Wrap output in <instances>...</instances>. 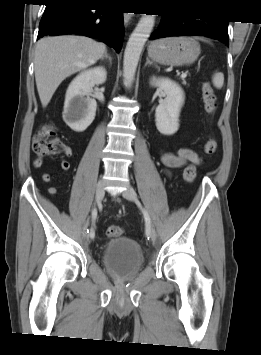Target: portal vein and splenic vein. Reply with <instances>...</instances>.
Returning <instances> with one entry per match:
<instances>
[{"label":"portal vein and splenic vein","mask_w":261,"mask_h":355,"mask_svg":"<svg viewBox=\"0 0 261 355\" xmlns=\"http://www.w3.org/2000/svg\"><path fill=\"white\" fill-rule=\"evenodd\" d=\"M186 77H187V73H182V74H181V78H182V79H184V78H186Z\"/></svg>","instance_id":"obj_1"}]
</instances>
